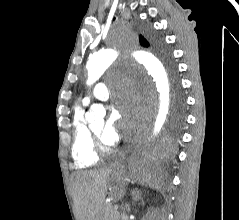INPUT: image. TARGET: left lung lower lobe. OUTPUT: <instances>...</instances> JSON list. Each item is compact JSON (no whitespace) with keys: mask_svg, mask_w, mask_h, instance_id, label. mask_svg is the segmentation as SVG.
Segmentation results:
<instances>
[{"mask_svg":"<svg viewBox=\"0 0 239 220\" xmlns=\"http://www.w3.org/2000/svg\"><path fill=\"white\" fill-rule=\"evenodd\" d=\"M172 149L171 141H167L165 147L161 150L163 153H170ZM158 160L157 156H148L143 159L140 165V169L144 172L155 171L158 168Z\"/></svg>","mask_w":239,"mask_h":220,"instance_id":"1","label":"left lung lower lobe"}]
</instances>
